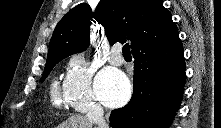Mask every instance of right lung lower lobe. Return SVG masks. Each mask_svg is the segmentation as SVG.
I'll return each instance as SVG.
<instances>
[{"instance_id":"right-lung-lower-lobe-1","label":"right lung lower lobe","mask_w":221,"mask_h":128,"mask_svg":"<svg viewBox=\"0 0 221 128\" xmlns=\"http://www.w3.org/2000/svg\"><path fill=\"white\" fill-rule=\"evenodd\" d=\"M134 88L129 103L110 115L113 128H167L181 104L185 75L182 42L177 36L168 45L137 49Z\"/></svg>"}]
</instances>
